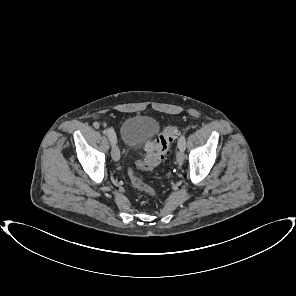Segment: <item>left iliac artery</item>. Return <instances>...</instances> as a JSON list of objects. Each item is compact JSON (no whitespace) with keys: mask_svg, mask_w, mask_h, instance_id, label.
<instances>
[{"mask_svg":"<svg viewBox=\"0 0 296 296\" xmlns=\"http://www.w3.org/2000/svg\"><path fill=\"white\" fill-rule=\"evenodd\" d=\"M185 144H186V138L184 135H181V137L178 140V147L179 149H185Z\"/></svg>","mask_w":296,"mask_h":296,"instance_id":"obj_1","label":"left iliac artery"}]
</instances>
